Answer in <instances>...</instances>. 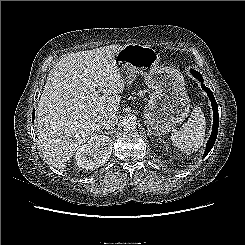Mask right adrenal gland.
I'll return each mask as SVG.
<instances>
[{
	"label": "right adrenal gland",
	"mask_w": 245,
	"mask_h": 245,
	"mask_svg": "<svg viewBox=\"0 0 245 245\" xmlns=\"http://www.w3.org/2000/svg\"><path fill=\"white\" fill-rule=\"evenodd\" d=\"M101 132H103V131H101ZM104 133H105V134H107V135H109V134H110V135L112 136V134H113V130H112V131H104Z\"/></svg>",
	"instance_id": "right-adrenal-gland-1"
}]
</instances>
